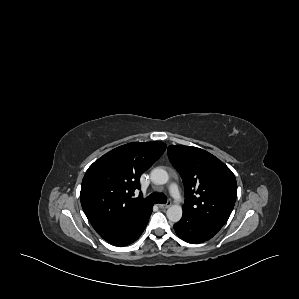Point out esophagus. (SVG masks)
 Segmentation results:
<instances>
[{
  "mask_svg": "<svg viewBox=\"0 0 299 299\" xmlns=\"http://www.w3.org/2000/svg\"><path fill=\"white\" fill-rule=\"evenodd\" d=\"M171 206V202H167L166 204H159V207L162 209H166Z\"/></svg>",
  "mask_w": 299,
  "mask_h": 299,
  "instance_id": "esophagus-1",
  "label": "esophagus"
}]
</instances>
